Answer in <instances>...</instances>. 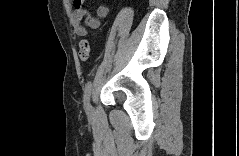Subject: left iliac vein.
<instances>
[{
	"instance_id": "1",
	"label": "left iliac vein",
	"mask_w": 239,
	"mask_h": 156,
	"mask_svg": "<svg viewBox=\"0 0 239 156\" xmlns=\"http://www.w3.org/2000/svg\"><path fill=\"white\" fill-rule=\"evenodd\" d=\"M91 104H90V100H88L87 102H86V108L88 109V110H90L91 109Z\"/></svg>"
}]
</instances>
